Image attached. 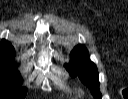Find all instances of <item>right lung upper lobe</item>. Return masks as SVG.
Wrapping results in <instances>:
<instances>
[{"instance_id": "obj_1", "label": "right lung upper lobe", "mask_w": 128, "mask_h": 99, "mask_svg": "<svg viewBox=\"0 0 128 99\" xmlns=\"http://www.w3.org/2000/svg\"><path fill=\"white\" fill-rule=\"evenodd\" d=\"M13 56H14L13 46L8 41L3 39L0 44V59L12 58Z\"/></svg>"}]
</instances>
